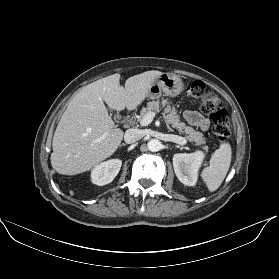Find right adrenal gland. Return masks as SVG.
Listing matches in <instances>:
<instances>
[{
    "label": "right adrenal gland",
    "instance_id": "1",
    "mask_svg": "<svg viewBox=\"0 0 279 279\" xmlns=\"http://www.w3.org/2000/svg\"><path fill=\"white\" fill-rule=\"evenodd\" d=\"M122 146H126V144H125V143H122V144L120 145V147H122Z\"/></svg>",
    "mask_w": 279,
    "mask_h": 279
}]
</instances>
